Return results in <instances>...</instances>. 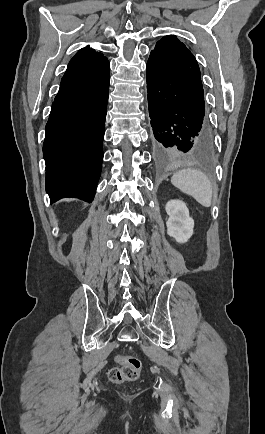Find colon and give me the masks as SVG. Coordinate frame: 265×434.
I'll return each mask as SVG.
<instances>
[{"instance_id":"5ec220e1","label":"colon","mask_w":265,"mask_h":434,"mask_svg":"<svg viewBox=\"0 0 265 434\" xmlns=\"http://www.w3.org/2000/svg\"><path fill=\"white\" fill-rule=\"evenodd\" d=\"M120 366L110 369L109 378L117 383L136 380L140 377L142 362L140 359L132 356L119 357Z\"/></svg>"}]
</instances>
